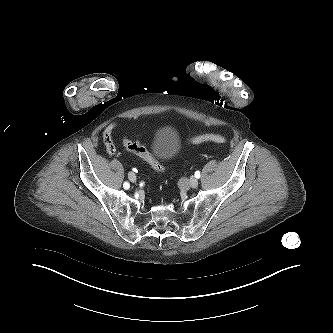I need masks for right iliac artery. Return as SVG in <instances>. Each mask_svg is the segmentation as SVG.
I'll list each match as a JSON object with an SVG mask.
<instances>
[{
  "mask_svg": "<svg viewBox=\"0 0 333 333\" xmlns=\"http://www.w3.org/2000/svg\"><path fill=\"white\" fill-rule=\"evenodd\" d=\"M123 187H124L125 189H129L130 184H129L128 182H124Z\"/></svg>",
  "mask_w": 333,
  "mask_h": 333,
  "instance_id": "1",
  "label": "right iliac artery"
}]
</instances>
